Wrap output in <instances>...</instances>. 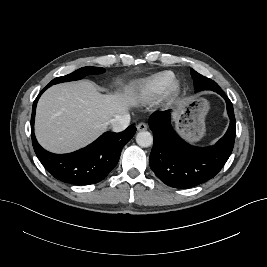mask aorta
I'll list each match as a JSON object with an SVG mask.
<instances>
[{
    "mask_svg": "<svg viewBox=\"0 0 267 267\" xmlns=\"http://www.w3.org/2000/svg\"><path fill=\"white\" fill-rule=\"evenodd\" d=\"M136 142L141 147H149L153 143V136L148 131H140L136 135Z\"/></svg>",
    "mask_w": 267,
    "mask_h": 267,
    "instance_id": "aorta-1",
    "label": "aorta"
}]
</instances>
